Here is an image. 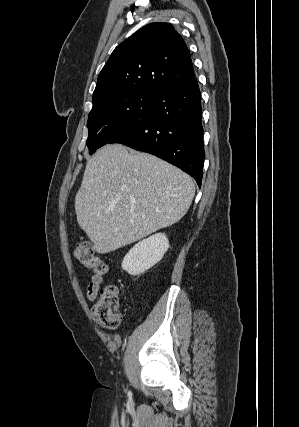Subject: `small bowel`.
<instances>
[{
  "mask_svg": "<svg viewBox=\"0 0 299 427\" xmlns=\"http://www.w3.org/2000/svg\"><path fill=\"white\" fill-rule=\"evenodd\" d=\"M103 277L104 276L102 274H96L91 277V280L87 285V291H86L87 298L90 301H94L98 297L100 285L103 282Z\"/></svg>",
  "mask_w": 299,
  "mask_h": 427,
  "instance_id": "small-bowel-1",
  "label": "small bowel"
}]
</instances>
